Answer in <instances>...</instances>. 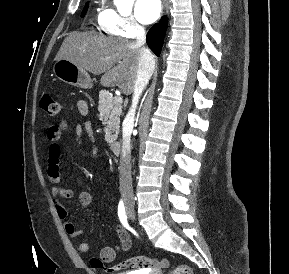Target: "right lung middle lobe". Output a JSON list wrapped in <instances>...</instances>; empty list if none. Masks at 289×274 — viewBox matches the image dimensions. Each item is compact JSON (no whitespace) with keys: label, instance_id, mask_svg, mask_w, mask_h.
<instances>
[{"label":"right lung middle lobe","instance_id":"1","mask_svg":"<svg viewBox=\"0 0 289 274\" xmlns=\"http://www.w3.org/2000/svg\"><path fill=\"white\" fill-rule=\"evenodd\" d=\"M87 8H88V3L85 4V7H84V9H83V11H82V14H81V17H84V16H85V14H86V12H87Z\"/></svg>","mask_w":289,"mask_h":274}]
</instances>
